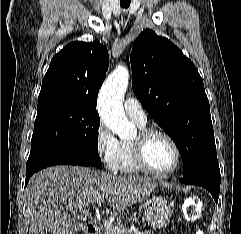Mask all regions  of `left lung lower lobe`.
Here are the masks:
<instances>
[{
  "instance_id": "1",
  "label": "left lung lower lobe",
  "mask_w": 241,
  "mask_h": 234,
  "mask_svg": "<svg viewBox=\"0 0 241 234\" xmlns=\"http://www.w3.org/2000/svg\"><path fill=\"white\" fill-rule=\"evenodd\" d=\"M221 178H214L209 175H197L192 177H183L180 182L194 184L206 188L213 196L215 202H218Z\"/></svg>"
}]
</instances>
